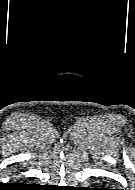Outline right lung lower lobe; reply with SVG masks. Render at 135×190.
Wrapping results in <instances>:
<instances>
[{
	"label": "right lung lower lobe",
	"instance_id": "obj_1",
	"mask_svg": "<svg viewBox=\"0 0 135 190\" xmlns=\"http://www.w3.org/2000/svg\"><path fill=\"white\" fill-rule=\"evenodd\" d=\"M37 186L36 185H24V184H18V186L16 187V189L18 190H36Z\"/></svg>",
	"mask_w": 135,
	"mask_h": 190
}]
</instances>
